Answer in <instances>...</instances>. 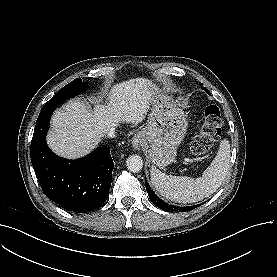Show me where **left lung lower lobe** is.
Instances as JSON below:
<instances>
[{"mask_svg": "<svg viewBox=\"0 0 277 277\" xmlns=\"http://www.w3.org/2000/svg\"><path fill=\"white\" fill-rule=\"evenodd\" d=\"M145 184H146V190L148 192L149 198L152 201V203L157 206L158 208L170 212V211H180V212H186V211H191L193 209H195L198 205L195 206H188V207H175L172 205H169L167 203H165L163 200H161L150 188V186L148 185L147 181L145 180Z\"/></svg>", "mask_w": 277, "mask_h": 277, "instance_id": "1", "label": "left lung lower lobe"}]
</instances>
